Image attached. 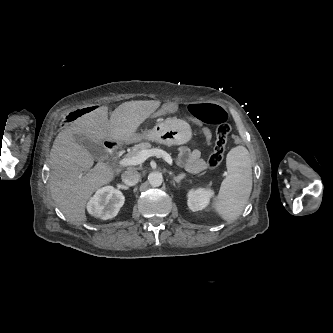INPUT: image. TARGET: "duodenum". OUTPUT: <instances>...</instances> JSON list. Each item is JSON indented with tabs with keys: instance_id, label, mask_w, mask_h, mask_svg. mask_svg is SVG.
Segmentation results:
<instances>
[{
	"instance_id": "obj_1",
	"label": "duodenum",
	"mask_w": 333,
	"mask_h": 333,
	"mask_svg": "<svg viewBox=\"0 0 333 333\" xmlns=\"http://www.w3.org/2000/svg\"><path fill=\"white\" fill-rule=\"evenodd\" d=\"M108 147H109V149H110V152H111L112 154H114V153H115V149H116L115 145H114L113 143H109V144H108Z\"/></svg>"
}]
</instances>
